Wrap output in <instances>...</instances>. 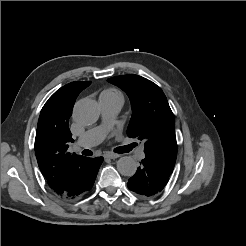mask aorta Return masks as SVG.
<instances>
[{
	"mask_svg": "<svg viewBox=\"0 0 246 246\" xmlns=\"http://www.w3.org/2000/svg\"><path fill=\"white\" fill-rule=\"evenodd\" d=\"M99 110L91 99L78 101L73 109V119L81 125H91L97 121ZM117 170L123 176H133L137 170L136 161L130 156H123L117 161Z\"/></svg>",
	"mask_w": 246,
	"mask_h": 246,
	"instance_id": "1",
	"label": "aorta"
}]
</instances>
